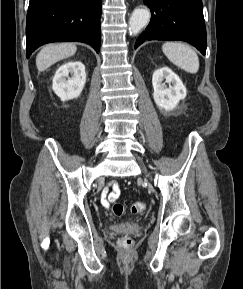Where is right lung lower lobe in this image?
Listing matches in <instances>:
<instances>
[{
    "mask_svg": "<svg viewBox=\"0 0 243 289\" xmlns=\"http://www.w3.org/2000/svg\"><path fill=\"white\" fill-rule=\"evenodd\" d=\"M101 10V0H30L27 58L49 42H85L99 53Z\"/></svg>",
    "mask_w": 243,
    "mask_h": 289,
    "instance_id": "98d812e1",
    "label": "right lung lower lobe"
}]
</instances>
